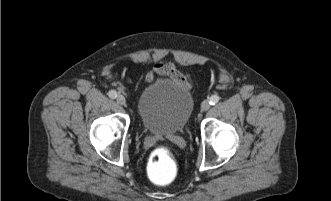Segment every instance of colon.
<instances>
[{"mask_svg":"<svg viewBox=\"0 0 331 201\" xmlns=\"http://www.w3.org/2000/svg\"><path fill=\"white\" fill-rule=\"evenodd\" d=\"M177 165L172 154L165 148L155 150L148 162V175L152 182L167 185L176 177Z\"/></svg>","mask_w":331,"mask_h":201,"instance_id":"obj_1","label":"colon"}]
</instances>
